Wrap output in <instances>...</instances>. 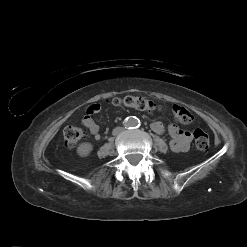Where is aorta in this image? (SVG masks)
Masks as SVG:
<instances>
[{
    "mask_svg": "<svg viewBox=\"0 0 247 247\" xmlns=\"http://www.w3.org/2000/svg\"><path fill=\"white\" fill-rule=\"evenodd\" d=\"M125 123H126V126L133 127V126H137L139 121L137 120V118L129 117L126 119Z\"/></svg>",
    "mask_w": 247,
    "mask_h": 247,
    "instance_id": "762f6f07",
    "label": "aorta"
}]
</instances>
